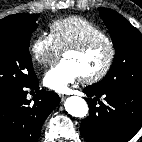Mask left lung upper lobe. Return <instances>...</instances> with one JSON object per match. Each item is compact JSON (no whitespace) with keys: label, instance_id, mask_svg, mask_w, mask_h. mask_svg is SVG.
Segmentation results:
<instances>
[{"label":"left lung upper lobe","instance_id":"1","mask_svg":"<svg viewBox=\"0 0 142 142\" xmlns=\"http://www.w3.org/2000/svg\"><path fill=\"white\" fill-rule=\"evenodd\" d=\"M109 29L115 57L108 74L93 86L99 90L111 88L142 91V35L122 15L109 8H99Z\"/></svg>","mask_w":142,"mask_h":142}]
</instances>
